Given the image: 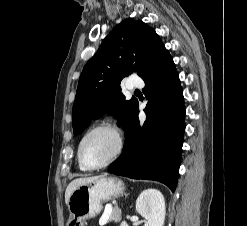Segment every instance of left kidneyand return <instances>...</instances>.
I'll return each mask as SVG.
<instances>
[{"label": "left kidney", "mask_w": 247, "mask_h": 226, "mask_svg": "<svg viewBox=\"0 0 247 226\" xmlns=\"http://www.w3.org/2000/svg\"><path fill=\"white\" fill-rule=\"evenodd\" d=\"M136 211L147 220L148 226H163L166 215L164 196L156 189L144 190L136 201Z\"/></svg>", "instance_id": "obj_1"}]
</instances>
